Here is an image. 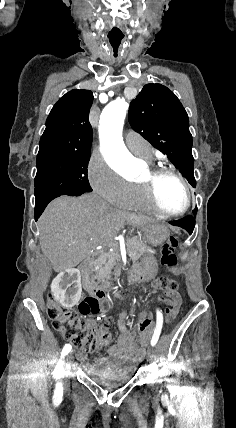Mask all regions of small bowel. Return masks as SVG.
Returning <instances> with one entry per match:
<instances>
[{
    "label": "small bowel",
    "mask_w": 236,
    "mask_h": 428,
    "mask_svg": "<svg viewBox=\"0 0 236 428\" xmlns=\"http://www.w3.org/2000/svg\"><path fill=\"white\" fill-rule=\"evenodd\" d=\"M145 316L149 322L146 326H139L135 324L132 326L128 319L126 312H122L118 318V327L120 336L118 341L109 347L108 355L110 360L115 361H140L144 355L145 347L152 334V325L150 315ZM111 324V320H107L103 327ZM78 360L83 363L87 368H92L93 365L89 363L87 355L84 351H80L77 355ZM106 361V360H105ZM104 363L103 361L99 362Z\"/></svg>",
    "instance_id": "small-bowel-1"
}]
</instances>
